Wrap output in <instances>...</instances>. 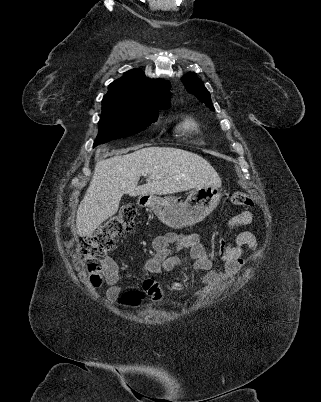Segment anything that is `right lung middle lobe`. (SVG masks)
Wrapping results in <instances>:
<instances>
[{
  "label": "right lung middle lobe",
  "mask_w": 321,
  "mask_h": 402,
  "mask_svg": "<svg viewBox=\"0 0 321 402\" xmlns=\"http://www.w3.org/2000/svg\"><path fill=\"white\" fill-rule=\"evenodd\" d=\"M165 107L139 106L120 101L102 100L99 132L94 145L122 138L144 130L157 120L159 110Z\"/></svg>",
  "instance_id": "dd1d6c3e"
}]
</instances>
